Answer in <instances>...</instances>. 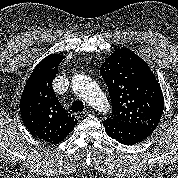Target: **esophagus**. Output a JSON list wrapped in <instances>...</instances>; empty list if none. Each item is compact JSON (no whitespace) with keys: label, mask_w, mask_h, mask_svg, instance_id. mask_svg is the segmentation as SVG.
<instances>
[{"label":"esophagus","mask_w":178,"mask_h":178,"mask_svg":"<svg viewBox=\"0 0 178 178\" xmlns=\"http://www.w3.org/2000/svg\"><path fill=\"white\" fill-rule=\"evenodd\" d=\"M89 113H90L89 110H85V111H83V112H77V113H75V117H76L77 119H80V118H82V117L87 116Z\"/></svg>","instance_id":"obj_1"}]
</instances>
